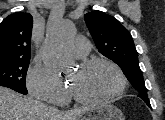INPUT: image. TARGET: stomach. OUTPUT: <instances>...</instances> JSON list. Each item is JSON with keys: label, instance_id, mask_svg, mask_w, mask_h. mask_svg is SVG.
I'll return each mask as SVG.
<instances>
[{"label": "stomach", "instance_id": "1", "mask_svg": "<svg viewBox=\"0 0 165 120\" xmlns=\"http://www.w3.org/2000/svg\"><path fill=\"white\" fill-rule=\"evenodd\" d=\"M77 120H125L119 108L111 104H101L88 108L84 116Z\"/></svg>", "mask_w": 165, "mask_h": 120}]
</instances>
